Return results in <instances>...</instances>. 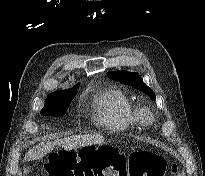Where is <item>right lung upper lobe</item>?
I'll list each match as a JSON object with an SVG mask.
<instances>
[{
  "label": "right lung upper lobe",
  "instance_id": "1",
  "mask_svg": "<svg viewBox=\"0 0 205 176\" xmlns=\"http://www.w3.org/2000/svg\"><path fill=\"white\" fill-rule=\"evenodd\" d=\"M78 87H79V84H77V85H76L74 88H72V89L55 91V92H53V93H50L48 96L53 95V94H56V93H61V92H70V91H74V90H76Z\"/></svg>",
  "mask_w": 205,
  "mask_h": 176
}]
</instances>
